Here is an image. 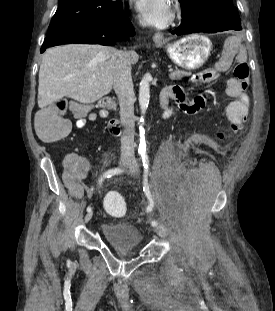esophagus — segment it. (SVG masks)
<instances>
[{
    "instance_id": "esophagus-1",
    "label": "esophagus",
    "mask_w": 275,
    "mask_h": 311,
    "mask_svg": "<svg viewBox=\"0 0 275 311\" xmlns=\"http://www.w3.org/2000/svg\"><path fill=\"white\" fill-rule=\"evenodd\" d=\"M153 41L159 44L164 43L165 40L163 34L160 32L155 33V35L153 36Z\"/></svg>"
}]
</instances>
